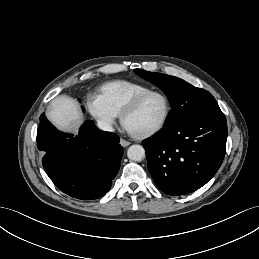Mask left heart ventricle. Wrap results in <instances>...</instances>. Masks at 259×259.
Masks as SVG:
<instances>
[{
  "label": "left heart ventricle",
  "mask_w": 259,
  "mask_h": 259,
  "mask_svg": "<svg viewBox=\"0 0 259 259\" xmlns=\"http://www.w3.org/2000/svg\"><path fill=\"white\" fill-rule=\"evenodd\" d=\"M164 113L163 98L159 95H151L127 116L125 126L134 134H142L155 128L163 119Z\"/></svg>",
  "instance_id": "b2bd125f"
}]
</instances>
